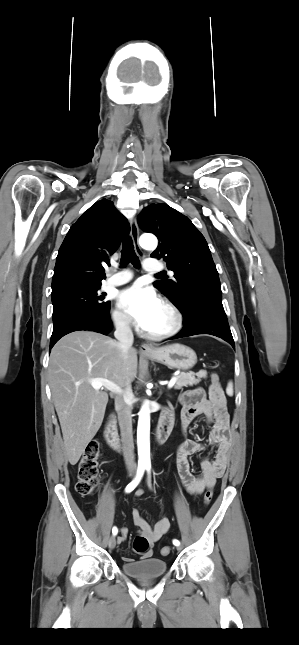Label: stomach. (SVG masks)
Returning a JSON list of instances; mask_svg holds the SVG:
<instances>
[{
	"label": "stomach",
	"instance_id": "0dacf381",
	"mask_svg": "<svg viewBox=\"0 0 299 645\" xmlns=\"http://www.w3.org/2000/svg\"><path fill=\"white\" fill-rule=\"evenodd\" d=\"M147 358L169 368L181 370L191 369L197 362L194 350L182 344H172L158 348L155 352L147 355Z\"/></svg>",
	"mask_w": 299,
	"mask_h": 645
}]
</instances>
